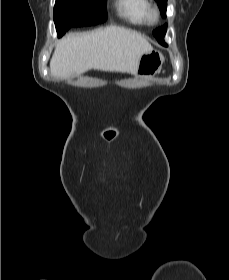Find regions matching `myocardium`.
Listing matches in <instances>:
<instances>
[{
  "instance_id": "myocardium-1",
  "label": "myocardium",
  "mask_w": 229,
  "mask_h": 280,
  "mask_svg": "<svg viewBox=\"0 0 229 280\" xmlns=\"http://www.w3.org/2000/svg\"><path fill=\"white\" fill-rule=\"evenodd\" d=\"M159 18V12L155 8H151L148 12V22L149 23H155L158 21Z\"/></svg>"
}]
</instances>
